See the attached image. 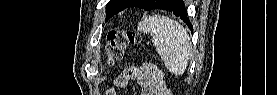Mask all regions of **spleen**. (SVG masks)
I'll use <instances>...</instances> for the list:
<instances>
[{"instance_id": "spleen-1", "label": "spleen", "mask_w": 277, "mask_h": 95, "mask_svg": "<svg viewBox=\"0 0 277 95\" xmlns=\"http://www.w3.org/2000/svg\"><path fill=\"white\" fill-rule=\"evenodd\" d=\"M137 29L143 33H150L157 53L171 73L182 75L185 72L191 42L183 26L166 16L154 15L139 22Z\"/></svg>"}]
</instances>
